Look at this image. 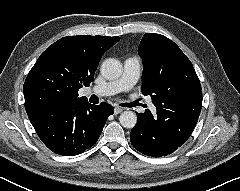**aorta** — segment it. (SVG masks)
Masks as SVG:
<instances>
[{"instance_id":"obj_1","label":"aorta","mask_w":240,"mask_h":191,"mask_svg":"<svg viewBox=\"0 0 240 191\" xmlns=\"http://www.w3.org/2000/svg\"><path fill=\"white\" fill-rule=\"evenodd\" d=\"M101 74L108 80H115L122 75L123 67L119 60L106 59L100 68ZM120 124L125 128H133L137 123V116L132 111H124L119 117Z\"/></svg>"}]
</instances>
